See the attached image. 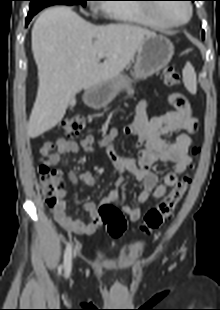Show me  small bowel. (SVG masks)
Segmentation results:
<instances>
[{
	"mask_svg": "<svg viewBox=\"0 0 220 310\" xmlns=\"http://www.w3.org/2000/svg\"><path fill=\"white\" fill-rule=\"evenodd\" d=\"M169 103L173 106L170 110L159 116L149 118L147 115L148 103L141 101L137 108L133 122L121 131L135 137L140 150L136 157H127L117 154L113 144L119 133L118 129H112L106 136L97 140L93 135H88L79 143L73 140L59 138L57 141H46L40 147L38 157L43 166L57 165L61 155L77 153L79 150L92 152L96 144L107 149L109 157L119 173L116 186L104 198V203L116 202L119 198V186L129 177H134L142 182L143 188L137 197L138 205L144 204L151 196L162 198L169 188L173 187L191 163L189 148L192 143L190 133L196 131L198 121L192 114L188 99L179 92L169 95ZM165 135H174L171 142L164 140ZM156 161L173 164V170L168 172L162 183H158V176L151 167ZM70 188H76L80 182L87 186H94L96 177L90 172H80L79 169L68 170ZM67 191L64 190L61 201L52 208L56 221L66 231L78 235L89 236L94 234L101 226L99 206L92 201L83 205L84 212L89 221L73 219L67 212V203L63 199ZM124 213L131 222H137L141 218L139 206H124Z\"/></svg>",
	"mask_w": 220,
	"mask_h": 310,
	"instance_id": "small-bowel-1",
	"label": "small bowel"
}]
</instances>
